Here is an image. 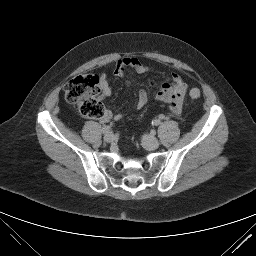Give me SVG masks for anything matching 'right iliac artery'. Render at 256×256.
Here are the masks:
<instances>
[{
    "label": "right iliac artery",
    "instance_id": "82829eb1",
    "mask_svg": "<svg viewBox=\"0 0 256 256\" xmlns=\"http://www.w3.org/2000/svg\"><path fill=\"white\" fill-rule=\"evenodd\" d=\"M111 127H112V124L107 125V126H104V127L102 128V133H103V134L108 133V132L111 130Z\"/></svg>",
    "mask_w": 256,
    "mask_h": 256
}]
</instances>
